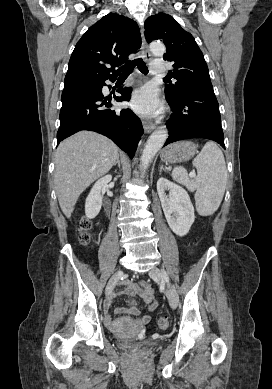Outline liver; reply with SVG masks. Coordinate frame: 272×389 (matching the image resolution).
I'll use <instances>...</instances> for the list:
<instances>
[{
    "label": "liver",
    "instance_id": "liver-1",
    "mask_svg": "<svg viewBox=\"0 0 272 389\" xmlns=\"http://www.w3.org/2000/svg\"><path fill=\"white\" fill-rule=\"evenodd\" d=\"M118 147L107 137L80 131L60 143L55 154L54 183L67 218L81 193L116 163Z\"/></svg>",
    "mask_w": 272,
    "mask_h": 389
}]
</instances>
